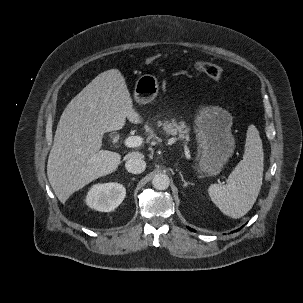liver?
Returning <instances> with one entry per match:
<instances>
[{
	"instance_id": "liver-1",
	"label": "liver",
	"mask_w": 303,
	"mask_h": 303,
	"mask_svg": "<svg viewBox=\"0 0 303 303\" xmlns=\"http://www.w3.org/2000/svg\"><path fill=\"white\" fill-rule=\"evenodd\" d=\"M126 118L142 123L121 72L96 76L64 109L54 136L47 176L61 203L95 179L114 172L121 155L101 150L104 133L123 128ZM143 157L130 152L124 159Z\"/></svg>"
}]
</instances>
